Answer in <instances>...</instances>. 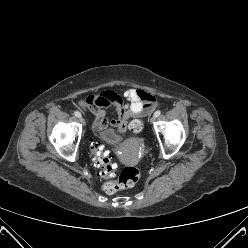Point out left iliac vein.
Here are the masks:
<instances>
[{
    "instance_id": "1",
    "label": "left iliac vein",
    "mask_w": 248,
    "mask_h": 248,
    "mask_svg": "<svg viewBox=\"0 0 248 248\" xmlns=\"http://www.w3.org/2000/svg\"><path fill=\"white\" fill-rule=\"evenodd\" d=\"M156 120V117L153 115L150 119V122L153 123Z\"/></svg>"
}]
</instances>
